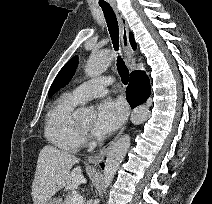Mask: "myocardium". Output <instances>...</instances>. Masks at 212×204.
I'll use <instances>...</instances> for the list:
<instances>
[{
  "mask_svg": "<svg viewBox=\"0 0 212 204\" xmlns=\"http://www.w3.org/2000/svg\"><path fill=\"white\" fill-rule=\"evenodd\" d=\"M79 128H80V130L82 131V133L88 131V129H87V128H84L81 124H79Z\"/></svg>",
  "mask_w": 212,
  "mask_h": 204,
  "instance_id": "f54148a6",
  "label": "myocardium"
}]
</instances>
